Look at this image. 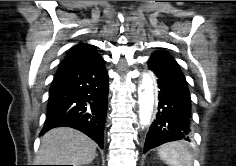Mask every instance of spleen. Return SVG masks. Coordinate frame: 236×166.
<instances>
[{
	"mask_svg": "<svg viewBox=\"0 0 236 166\" xmlns=\"http://www.w3.org/2000/svg\"><path fill=\"white\" fill-rule=\"evenodd\" d=\"M158 154L170 166H193L192 154L181 142L163 145L160 147Z\"/></svg>",
	"mask_w": 236,
	"mask_h": 166,
	"instance_id": "1",
	"label": "spleen"
}]
</instances>
